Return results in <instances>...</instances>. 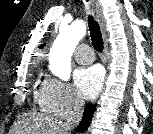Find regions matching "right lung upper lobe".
Returning a JSON list of instances; mask_svg holds the SVG:
<instances>
[{"label": "right lung upper lobe", "instance_id": "right-lung-upper-lobe-1", "mask_svg": "<svg viewBox=\"0 0 153 134\" xmlns=\"http://www.w3.org/2000/svg\"><path fill=\"white\" fill-rule=\"evenodd\" d=\"M45 46V44H42L41 46H40V48H43Z\"/></svg>", "mask_w": 153, "mask_h": 134}]
</instances>
